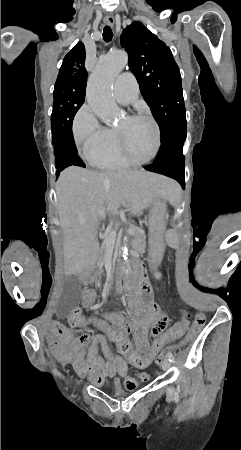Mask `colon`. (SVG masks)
<instances>
[{
	"mask_svg": "<svg viewBox=\"0 0 241 450\" xmlns=\"http://www.w3.org/2000/svg\"><path fill=\"white\" fill-rule=\"evenodd\" d=\"M180 313H184L182 315L181 321H174L173 324H168L167 328L164 331H160L158 336L152 341L150 344V349L147 353L148 357H137L133 347L127 343L126 339L121 335V332L114 327L109 321L99 314L91 315H82L81 310L74 309L71 313V317L69 319L68 325L71 328L80 327V328H91L92 326L99 328L102 332L109 337L110 341L114 344V347L120 351L124 356H126L128 366H137L139 371H148L150 369V365L152 364V356H154V352L159 349V347L164 343V340H167L168 337H173L178 330H184L185 325L188 323V319L190 315L185 313L186 308L184 306H180L178 308ZM205 324V317L202 314H198L195 316L193 324L190 328L189 333L186 338L183 339L178 345L172 347L170 344L165 346L167 351L172 350V352H178L187 342L193 340V338L199 333L202 327ZM146 355V354H145ZM162 356H164V351H160L158 355L155 356V362H161Z\"/></svg>",
	"mask_w": 241,
	"mask_h": 450,
	"instance_id": "1",
	"label": "colon"
}]
</instances>
